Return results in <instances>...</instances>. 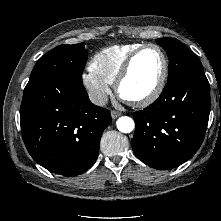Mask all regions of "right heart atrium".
<instances>
[{
	"label": "right heart atrium",
	"mask_w": 221,
	"mask_h": 221,
	"mask_svg": "<svg viewBox=\"0 0 221 221\" xmlns=\"http://www.w3.org/2000/svg\"><path fill=\"white\" fill-rule=\"evenodd\" d=\"M81 80L90 99L97 105H104L111 94L110 84L98 77L90 68L82 74Z\"/></svg>",
	"instance_id": "d8ad5b80"
}]
</instances>
